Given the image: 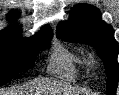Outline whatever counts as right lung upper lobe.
Listing matches in <instances>:
<instances>
[{
  "instance_id": "obj_1",
  "label": "right lung upper lobe",
  "mask_w": 119,
  "mask_h": 95,
  "mask_svg": "<svg viewBox=\"0 0 119 95\" xmlns=\"http://www.w3.org/2000/svg\"><path fill=\"white\" fill-rule=\"evenodd\" d=\"M17 16L18 14L16 11H11L8 13L7 18L9 20L14 21L17 18ZM46 32L52 33L51 28L49 26L43 27L39 33H46ZM18 34H20V30L13 26H9L5 28L4 30L0 31V36L10 37V36L18 35Z\"/></svg>"
}]
</instances>
